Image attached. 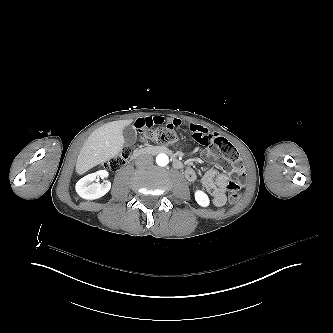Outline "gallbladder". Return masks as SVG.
<instances>
[{"label": "gallbladder", "instance_id": "gallbladder-1", "mask_svg": "<svg viewBox=\"0 0 333 333\" xmlns=\"http://www.w3.org/2000/svg\"><path fill=\"white\" fill-rule=\"evenodd\" d=\"M123 136L127 146H132L137 141V131L133 126H126L123 129Z\"/></svg>", "mask_w": 333, "mask_h": 333}]
</instances>
